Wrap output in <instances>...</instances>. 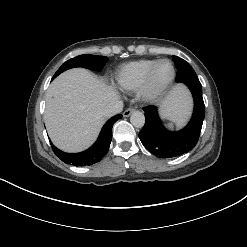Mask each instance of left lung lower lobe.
Here are the masks:
<instances>
[{"label":"left lung lower lobe","instance_id":"0a47b994","mask_svg":"<svg viewBox=\"0 0 247 247\" xmlns=\"http://www.w3.org/2000/svg\"><path fill=\"white\" fill-rule=\"evenodd\" d=\"M186 84L194 99V111L189 124L178 132L168 131L161 123L157 107H145V125L139 138L148 151L159 158H171L189 152L197 144L204 116L205 106L202 86L199 80H189Z\"/></svg>","mask_w":247,"mask_h":247}]
</instances>
